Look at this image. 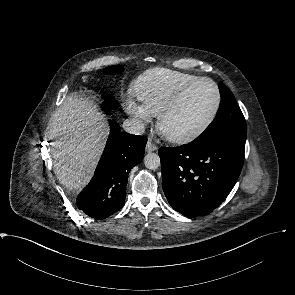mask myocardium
<instances>
[{"instance_id":"myocardium-1","label":"myocardium","mask_w":295,"mask_h":295,"mask_svg":"<svg viewBox=\"0 0 295 295\" xmlns=\"http://www.w3.org/2000/svg\"><path fill=\"white\" fill-rule=\"evenodd\" d=\"M200 82H208L214 87L216 94H217V101H216L215 108H214L211 116L209 117V119L200 128H198L196 131L192 132L191 134H188V135L182 136V137L166 136L167 139L172 143L184 145V144H188V143H191V142L197 140L204 133H206L208 131V129L213 125V123L215 122V120L217 119V117L219 115L221 105H222V94H221V90H220L218 84L213 79H211L209 77H198L195 80L186 84L184 87H182L174 95V97L161 109V111L158 114V118H157L158 129L161 132H163L162 125H163L165 118L179 106V104L182 102V100L184 99L186 94L194 86H196Z\"/></svg>"}]
</instances>
